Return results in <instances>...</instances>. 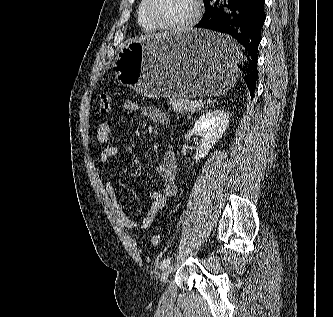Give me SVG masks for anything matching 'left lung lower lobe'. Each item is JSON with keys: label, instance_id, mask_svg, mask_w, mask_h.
<instances>
[{"label": "left lung lower lobe", "instance_id": "obj_1", "mask_svg": "<svg viewBox=\"0 0 333 317\" xmlns=\"http://www.w3.org/2000/svg\"><path fill=\"white\" fill-rule=\"evenodd\" d=\"M265 0H211L197 28L228 34L235 38L245 50L240 54L234 44L210 48V53L222 60L235 64L248 86L251 98L257 81V51L265 22ZM235 65V66H236Z\"/></svg>", "mask_w": 333, "mask_h": 317}]
</instances>
